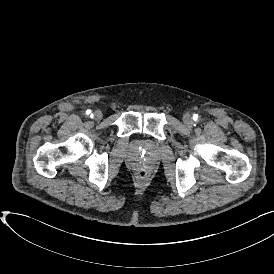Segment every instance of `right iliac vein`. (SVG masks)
I'll return each mask as SVG.
<instances>
[{
	"label": "right iliac vein",
	"instance_id": "obj_1",
	"mask_svg": "<svg viewBox=\"0 0 274 274\" xmlns=\"http://www.w3.org/2000/svg\"><path fill=\"white\" fill-rule=\"evenodd\" d=\"M93 118H94L96 121H100V120L103 118V113H102L100 110H96V111H94V113H93Z\"/></svg>",
	"mask_w": 274,
	"mask_h": 274
}]
</instances>
